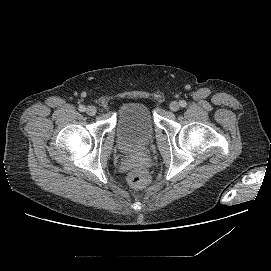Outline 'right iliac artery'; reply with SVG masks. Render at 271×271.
<instances>
[{"mask_svg":"<svg viewBox=\"0 0 271 271\" xmlns=\"http://www.w3.org/2000/svg\"><path fill=\"white\" fill-rule=\"evenodd\" d=\"M86 110V107L84 105L79 106V111L84 112Z\"/></svg>","mask_w":271,"mask_h":271,"instance_id":"1","label":"right iliac artery"}]
</instances>
